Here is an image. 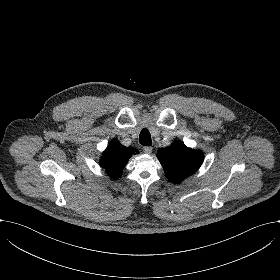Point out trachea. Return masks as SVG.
<instances>
[{"label": "trachea", "instance_id": "obj_1", "mask_svg": "<svg viewBox=\"0 0 280 280\" xmlns=\"http://www.w3.org/2000/svg\"><path fill=\"white\" fill-rule=\"evenodd\" d=\"M139 142L144 146H150L152 144L150 132L148 129H143L139 135Z\"/></svg>", "mask_w": 280, "mask_h": 280}]
</instances>
